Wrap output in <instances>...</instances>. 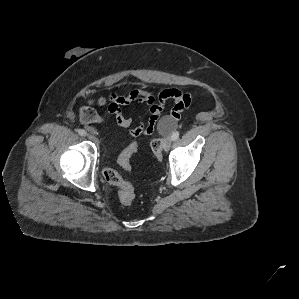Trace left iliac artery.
I'll list each match as a JSON object with an SVG mask.
<instances>
[{"mask_svg":"<svg viewBox=\"0 0 299 299\" xmlns=\"http://www.w3.org/2000/svg\"><path fill=\"white\" fill-rule=\"evenodd\" d=\"M178 137H179V132L178 131L173 132V134L171 136L172 140H176V139H178Z\"/></svg>","mask_w":299,"mask_h":299,"instance_id":"44dca946","label":"left iliac artery"}]
</instances>
